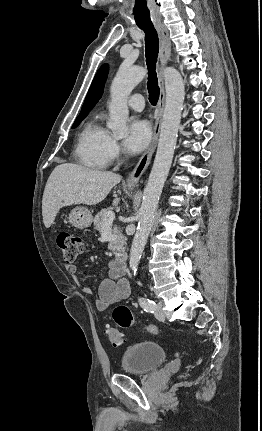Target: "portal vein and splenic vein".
Here are the masks:
<instances>
[{"mask_svg": "<svg viewBox=\"0 0 262 431\" xmlns=\"http://www.w3.org/2000/svg\"><path fill=\"white\" fill-rule=\"evenodd\" d=\"M114 218H115L114 212H112V211L107 212L104 219H103V226L112 224Z\"/></svg>", "mask_w": 262, "mask_h": 431, "instance_id": "portal-vein-and-splenic-vein-1", "label": "portal vein and splenic vein"}]
</instances>
